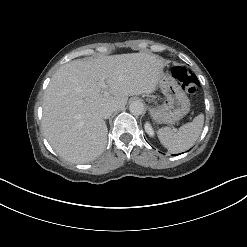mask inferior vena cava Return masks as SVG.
<instances>
[{"mask_svg":"<svg viewBox=\"0 0 247 247\" xmlns=\"http://www.w3.org/2000/svg\"><path fill=\"white\" fill-rule=\"evenodd\" d=\"M117 108L115 106H105L102 110H101V116L104 118V119H107L109 118L112 113L114 111H116Z\"/></svg>","mask_w":247,"mask_h":247,"instance_id":"1","label":"inferior vena cava"}]
</instances>
